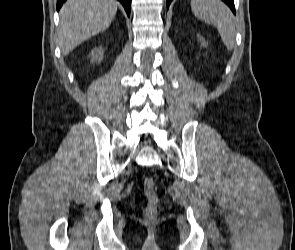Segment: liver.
Listing matches in <instances>:
<instances>
[{"label": "liver", "instance_id": "6515ba94", "mask_svg": "<svg viewBox=\"0 0 295 250\" xmlns=\"http://www.w3.org/2000/svg\"><path fill=\"white\" fill-rule=\"evenodd\" d=\"M117 12L114 0H68L60 10L59 40L68 55L91 36L106 30Z\"/></svg>", "mask_w": 295, "mask_h": 250}]
</instances>
